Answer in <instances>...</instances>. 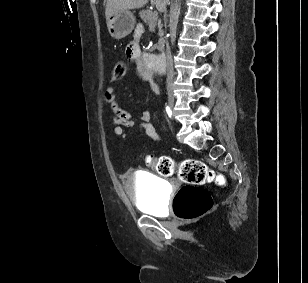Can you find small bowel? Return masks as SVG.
Here are the masks:
<instances>
[{"label": "small bowel", "mask_w": 308, "mask_h": 283, "mask_svg": "<svg viewBox=\"0 0 308 283\" xmlns=\"http://www.w3.org/2000/svg\"><path fill=\"white\" fill-rule=\"evenodd\" d=\"M141 33L142 27L138 26L135 30L134 40L129 42L125 48V54L129 59L135 61L136 63V77L140 80H148L150 77V70L146 63L145 56L142 54L138 41ZM104 99L112 112L111 125L114 133L125 138L126 128L135 126V119L133 115L119 106L113 86L108 85L104 89ZM138 133L145 134L152 140L159 139L156 129L150 123V114L146 111H143L139 117Z\"/></svg>", "instance_id": "small-bowel-1"}]
</instances>
